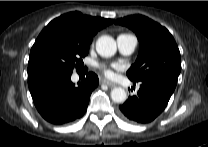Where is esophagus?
Returning <instances> with one entry per match:
<instances>
[{
    "label": "esophagus",
    "instance_id": "obj_1",
    "mask_svg": "<svg viewBox=\"0 0 208 147\" xmlns=\"http://www.w3.org/2000/svg\"><path fill=\"white\" fill-rule=\"evenodd\" d=\"M101 82H102L103 84L108 85L109 87H115V86H117L116 83L111 82V81H109V80H107V79H102Z\"/></svg>",
    "mask_w": 208,
    "mask_h": 147
}]
</instances>
